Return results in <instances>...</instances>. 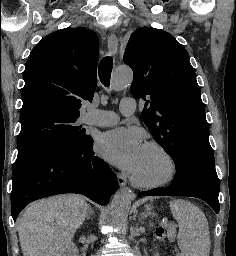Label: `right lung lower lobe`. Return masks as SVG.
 <instances>
[{
    "label": "right lung lower lobe",
    "instance_id": "right-lung-lower-lobe-1",
    "mask_svg": "<svg viewBox=\"0 0 236 256\" xmlns=\"http://www.w3.org/2000/svg\"><path fill=\"white\" fill-rule=\"evenodd\" d=\"M12 181L14 221L27 204L43 197L78 193L106 205L118 189L109 165L95 156L91 137L80 146L47 145L17 157Z\"/></svg>",
    "mask_w": 236,
    "mask_h": 256
}]
</instances>
